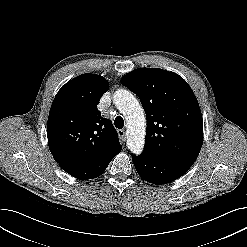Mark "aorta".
<instances>
[{"instance_id":"1","label":"aorta","mask_w":247,"mask_h":247,"mask_svg":"<svg viewBox=\"0 0 247 247\" xmlns=\"http://www.w3.org/2000/svg\"><path fill=\"white\" fill-rule=\"evenodd\" d=\"M115 106L125 116L127 122V146L136 155L142 153L145 144L146 119L143 108L134 95L125 89L113 95Z\"/></svg>"}]
</instances>
